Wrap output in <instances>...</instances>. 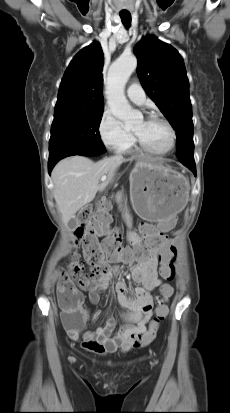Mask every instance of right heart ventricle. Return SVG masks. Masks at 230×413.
I'll use <instances>...</instances> for the list:
<instances>
[{
  "instance_id": "e07e8e85",
  "label": "right heart ventricle",
  "mask_w": 230,
  "mask_h": 413,
  "mask_svg": "<svg viewBox=\"0 0 230 413\" xmlns=\"http://www.w3.org/2000/svg\"><path fill=\"white\" fill-rule=\"evenodd\" d=\"M129 148H130V146H129V147H127L126 149H129ZM126 149H125V150H126Z\"/></svg>"
}]
</instances>
